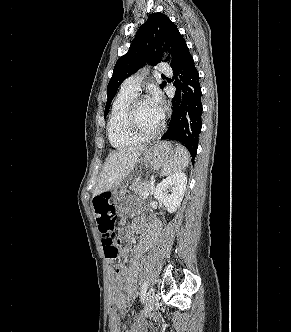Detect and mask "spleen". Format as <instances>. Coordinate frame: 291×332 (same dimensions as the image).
<instances>
[{
    "label": "spleen",
    "instance_id": "obj_1",
    "mask_svg": "<svg viewBox=\"0 0 291 332\" xmlns=\"http://www.w3.org/2000/svg\"><path fill=\"white\" fill-rule=\"evenodd\" d=\"M190 162V155L188 150L182 146H177L176 156L170 160V162L164 166L161 176L172 175L174 173H178L185 169Z\"/></svg>",
    "mask_w": 291,
    "mask_h": 332
}]
</instances>
